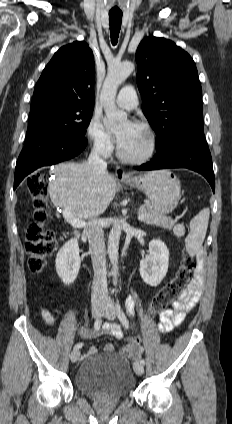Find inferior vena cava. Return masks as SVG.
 <instances>
[{"instance_id":"602c4592","label":"inferior vena cava","mask_w":232,"mask_h":424,"mask_svg":"<svg viewBox=\"0 0 232 424\" xmlns=\"http://www.w3.org/2000/svg\"><path fill=\"white\" fill-rule=\"evenodd\" d=\"M100 147L94 146L87 164L90 165L98 175L107 173V163L100 158ZM84 235L89 240V250L94 270L92 283L91 301L92 303H103L108 299L107 272L105 257L104 232L102 230L101 220L92 218L84 228Z\"/></svg>"}]
</instances>
